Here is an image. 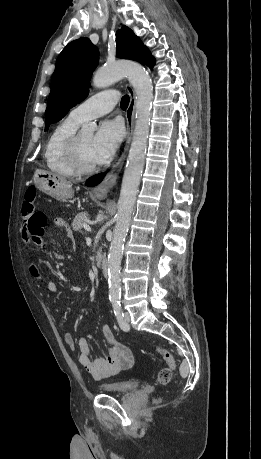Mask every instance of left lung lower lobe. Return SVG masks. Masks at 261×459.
<instances>
[{
	"mask_svg": "<svg viewBox=\"0 0 261 459\" xmlns=\"http://www.w3.org/2000/svg\"><path fill=\"white\" fill-rule=\"evenodd\" d=\"M104 176H105V174H98V175L90 178L86 182V185L90 186V187H93V186L97 185L98 183H100L102 181V179L104 178Z\"/></svg>",
	"mask_w": 261,
	"mask_h": 459,
	"instance_id": "1",
	"label": "left lung lower lobe"
}]
</instances>
